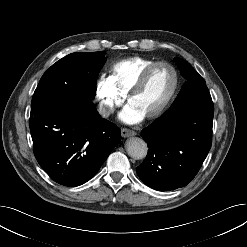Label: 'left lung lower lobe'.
Instances as JSON below:
<instances>
[{"mask_svg": "<svg viewBox=\"0 0 247 247\" xmlns=\"http://www.w3.org/2000/svg\"><path fill=\"white\" fill-rule=\"evenodd\" d=\"M213 115L210 93L203 87L144 128L141 136L149 149L137 167L139 178L159 191L191 182L212 145Z\"/></svg>", "mask_w": 247, "mask_h": 247, "instance_id": "0a47b994", "label": "left lung lower lobe"}]
</instances>
